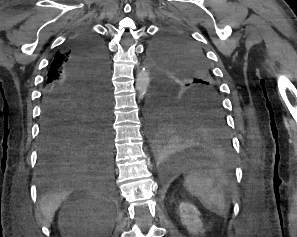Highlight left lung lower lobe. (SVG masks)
<instances>
[{"label":"left lung lower lobe","mask_w":297,"mask_h":237,"mask_svg":"<svg viewBox=\"0 0 297 237\" xmlns=\"http://www.w3.org/2000/svg\"><path fill=\"white\" fill-rule=\"evenodd\" d=\"M150 115L155 152L165 167L218 165L230 159L231 140L218 103L181 104L159 93L152 98Z\"/></svg>","instance_id":"1"}]
</instances>
